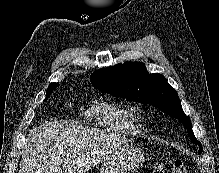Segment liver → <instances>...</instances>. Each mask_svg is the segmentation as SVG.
<instances>
[{
  "instance_id": "liver-1",
  "label": "liver",
  "mask_w": 219,
  "mask_h": 173,
  "mask_svg": "<svg viewBox=\"0 0 219 173\" xmlns=\"http://www.w3.org/2000/svg\"><path fill=\"white\" fill-rule=\"evenodd\" d=\"M20 173H83L126 140L97 128L55 122L30 131Z\"/></svg>"
}]
</instances>
